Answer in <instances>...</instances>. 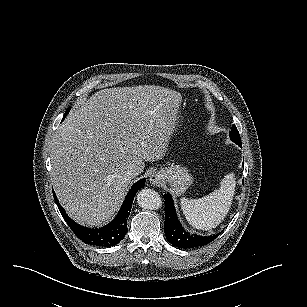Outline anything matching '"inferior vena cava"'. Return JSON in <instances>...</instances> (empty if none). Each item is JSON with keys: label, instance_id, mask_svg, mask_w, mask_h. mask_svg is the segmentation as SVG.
Here are the masks:
<instances>
[{"label": "inferior vena cava", "instance_id": "1", "mask_svg": "<svg viewBox=\"0 0 307 307\" xmlns=\"http://www.w3.org/2000/svg\"><path fill=\"white\" fill-rule=\"evenodd\" d=\"M138 175V172L136 169H131L127 172V177L128 178H134Z\"/></svg>", "mask_w": 307, "mask_h": 307}]
</instances>
